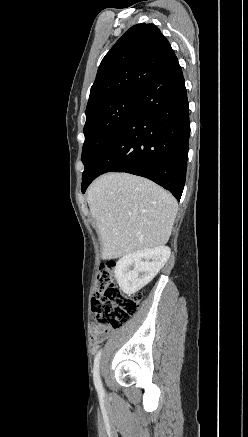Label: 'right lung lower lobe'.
<instances>
[{"instance_id":"obj_1","label":"right lung lower lobe","mask_w":248,"mask_h":437,"mask_svg":"<svg viewBox=\"0 0 248 437\" xmlns=\"http://www.w3.org/2000/svg\"><path fill=\"white\" fill-rule=\"evenodd\" d=\"M189 135V104L176 57L139 92L129 115L82 179V192L103 173L127 172L156 182L179 200Z\"/></svg>"}]
</instances>
